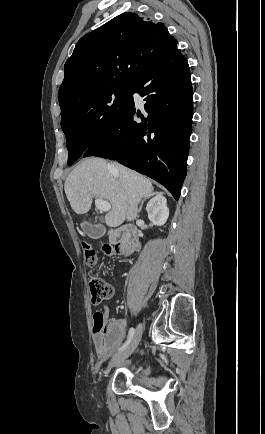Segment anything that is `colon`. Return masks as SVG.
Listing matches in <instances>:
<instances>
[{
  "mask_svg": "<svg viewBox=\"0 0 265 434\" xmlns=\"http://www.w3.org/2000/svg\"><path fill=\"white\" fill-rule=\"evenodd\" d=\"M82 250L84 252L85 263L89 267H93L98 263V252L88 243H81ZM105 256L110 255V248L104 247L102 250ZM89 297L93 305L101 304L107 301L113 296V285L99 277L92 276L88 279ZM92 320V334L102 335L106 329V317L105 314H101L100 311H95L91 317Z\"/></svg>",
  "mask_w": 265,
  "mask_h": 434,
  "instance_id": "1",
  "label": "colon"
}]
</instances>
